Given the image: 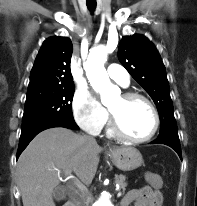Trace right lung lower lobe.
<instances>
[{"mask_svg":"<svg viewBox=\"0 0 197 206\" xmlns=\"http://www.w3.org/2000/svg\"><path fill=\"white\" fill-rule=\"evenodd\" d=\"M52 127H65L72 130H77L79 127L72 120H50L40 122L34 126L21 130V136L19 140V147L17 151V159L23 150L27 147L30 141L41 131Z\"/></svg>","mask_w":197,"mask_h":206,"instance_id":"98d812e1","label":"right lung lower lobe"}]
</instances>
